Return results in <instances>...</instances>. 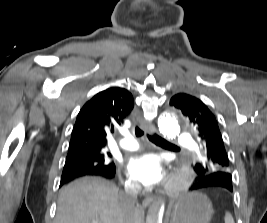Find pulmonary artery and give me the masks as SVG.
<instances>
[{"instance_id": "1", "label": "pulmonary artery", "mask_w": 267, "mask_h": 223, "mask_svg": "<svg viewBox=\"0 0 267 223\" xmlns=\"http://www.w3.org/2000/svg\"><path fill=\"white\" fill-rule=\"evenodd\" d=\"M178 144L181 146H190L186 139H180ZM119 145L126 150H137L139 148V143L137 140L130 134L125 135L123 139L119 141Z\"/></svg>"}]
</instances>
